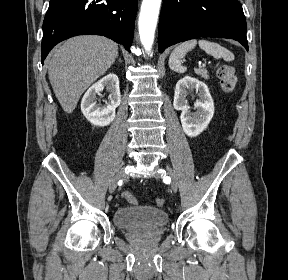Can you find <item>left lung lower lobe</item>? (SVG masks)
I'll return each instance as SVG.
<instances>
[{
  "label": "left lung lower lobe",
  "mask_w": 288,
  "mask_h": 280,
  "mask_svg": "<svg viewBox=\"0 0 288 280\" xmlns=\"http://www.w3.org/2000/svg\"><path fill=\"white\" fill-rule=\"evenodd\" d=\"M247 26L238 0H164L158 48L198 37L231 38L248 50Z\"/></svg>",
  "instance_id": "0a47b994"
}]
</instances>
